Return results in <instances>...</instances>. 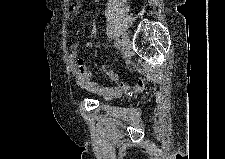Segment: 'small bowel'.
Wrapping results in <instances>:
<instances>
[{
    "instance_id": "1",
    "label": "small bowel",
    "mask_w": 225,
    "mask_h": 159,
    "mask_svg": "<svg viewBox=\"0 0 225 159\" xmlns=\"http://www.w3.org/2000/svg\"><path fill=\"white\" fill-rule=\"evenodd\" d=\"M81 7L82 5L80 2H75L71 6L69 14L71 16L77 15L80 12ZM92 47V42L87 41L85 43V48L91 49ZM70 59L72 64V74L76 84L82 88H87L104 98H113L119 96L123 91L134 92L140 91L144 88L143 80L140 79L133 83H125L120 80V77L117 75V73L105 66H103L101 70L106 73L115 84L111 86L101 87L92 83L90 72L84 60L79 55V46L76 42L71 45ZM125 64L127 66H131V62L128 60H125Z\"/></svg>"
}]
</instances>
